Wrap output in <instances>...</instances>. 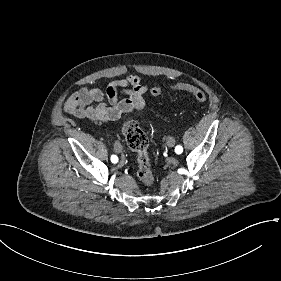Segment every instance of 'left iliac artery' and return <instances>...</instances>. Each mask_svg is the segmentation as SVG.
I'll return each instance as SVG.
<instances>
[{"mask_svg": "<svg viewBox=\"0 0 281 281\" xmlns=\"http://www.w3.org/2000/svg\"><path fill=\"white\" fill-rule=\"evenodd\" d=\"M182 151H183L182 146L177 145V146H176V148H175V152H176L177 154H181V153H182Z\"/></svg>", "mask_w": 281, "mask_h": 281, "instance_id": "1", "label": "left iliac artery"}]
</instances>
